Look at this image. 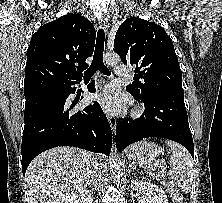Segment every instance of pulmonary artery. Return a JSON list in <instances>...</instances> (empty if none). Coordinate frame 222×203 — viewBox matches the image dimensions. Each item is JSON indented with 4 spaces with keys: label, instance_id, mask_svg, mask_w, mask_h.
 Returning a JSON list of instances; mask_svg holds the SVG:
<instances>
[{
    "label": "pulmonary artery",
    "instance_id": "e3ab8cb5",
    "mask_svg": "<svg viewBox=\"0 0 222 203\" xmlns=\"http://www.w3.org/2000/svg\"><path fill=\"white\" fill-rule=\"evenodd\" d=\"M114 71H115V74L117 76H120V77H124V76H127L129 74V69L124 64L116 65Z\"/></svg>",
    "mask_w": 222,
    "mask_h": 203
}]
</instances>
